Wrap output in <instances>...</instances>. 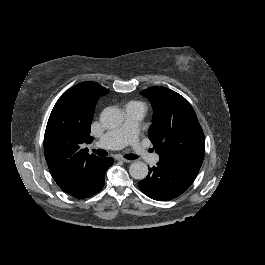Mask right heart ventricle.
I'll list each match as a JSON object with an SVG mask.
<instances>
[{
	"instance_id": "right-heart-ventricle-1",
	"label": "right heart ventricle",
	"mask_w": 265,
	"mask_h": 265,
	"mask_svg": "<svg viewBox=\"0 0 265 265\" xmlns=\"http://www.w3.org/2000/svg\"><path fill=\"white\" fill-rule=\"evenodd\" d=\"M127 106H133V107H138V108H143L144 107L142 102L136 101V100H133V101L128 102L125 105V107H127Z\"/></svg>"
}]
</instances>
